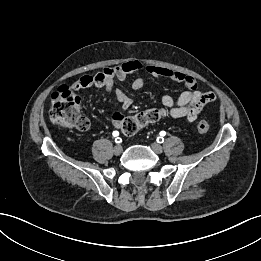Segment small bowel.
Instances as JSON below:
<instances>
[{"instance_id": "obj_1", "label": "small bowel", "mask_w": 261, "mask_h": 261, "mask_svg": "<svg viewBox=\"0 0 261 261\" xmlns=\"http://www.w3.org/2000/svg\"><path fill=\"white\" fill-rule=\"evenodd\" d=\"M139 71H145L153 77L168 78L186 85L187 90L182 92L177 98H173L170 95L161 97V102L169 109L168 113L171 118L184 119L187 123L194 122L206 106L215 99L214 93L199 91L195 79L190 76L161 66H144L136 60L105 68L103 72L94 76H83L77 82L80 84L79 88L100 87L110 92L114 89L116 80L124 81L129 75ZM144 85L145 82L142 78H136L131 83V87L135 91L141 90ZM115 97L120 103L122 110H127L132 104V99L122 90H115ZM115 114L121 115L120 113ZM113 122L116 127H119V121L114 115Z\"/></svg>"}]
</instances>
